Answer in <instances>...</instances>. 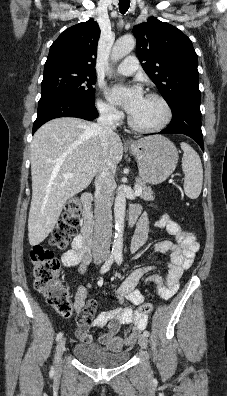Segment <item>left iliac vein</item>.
Returning a JSON list of instances; mask_svg holds the SVG:
<instances>
[{"instance_id": "obj_1", "label": "left iliac vein", "mask_w": 227, "mask_h": 396, "mask_svg": "<svg viewBox=\"0 0 227 396\" xmlns=\"http://www.w3.org/2000/svg\"><path fill=\"white\" fill-rule=\"evenodd\" d=\"M138 342H139V345H140L142 348H146V347H147V344H148V338H147V336H145L144 334L141 335V336L139 337Z\"/></svg>"}]
</instances>
